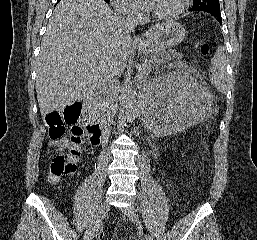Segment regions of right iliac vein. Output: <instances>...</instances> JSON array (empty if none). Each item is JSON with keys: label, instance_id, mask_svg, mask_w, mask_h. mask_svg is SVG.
Wrapping results in <instances>:
<instances>
[{"label": "right iliac vein", "instance_id": "63e3f726", "mask_svg": "<svg viewBox=\"0 0 257 240\" xmlns=\"http://www.w3.org/2000/svg\"><path fill=\"white\" fill-rule=\"evenodd\" d=\"M109 210V204L104 201L100 204L99 208L97 209V212L91 221L90 225L88 226L83 240H91L93 236L95 235L96 231L98 230L102 220L104 219L105 215L107 214Z\"/></svg>", "mask_w": 257, "mask_h": 240}]
</instances>
